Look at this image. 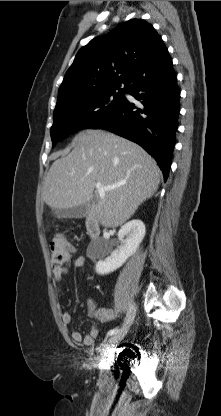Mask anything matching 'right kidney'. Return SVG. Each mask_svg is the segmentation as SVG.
Returning a JSON list of instances; mask_svg holds the SVG:
<instances>
[{"instance_id":"ca27d5eb","label":"right kidney","mask_w":221,"mask_h":416,"mask_svg":"<svg viewBox=\"0 0 221 416\" xmlns=\"http://www.w3.org/2000/svg\"><path fill=\"white\" fill-rule=\"evenodd\" d=\"M145 233V225L139 219H133L124 224L118 232V239L122 245L112 251L110 256L97 262L95 267L96 272L104 275L120 268L136 252Z\"/></svg>"}]
</instances>
